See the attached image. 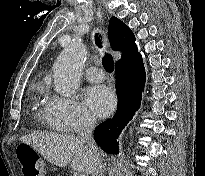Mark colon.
<instances>
[{
	"instance_id": "1",
	"label": "colon",
	"mask_w": 205,
	"mask_h": 176,
	"mask_svg": "<svg viewBox=\"0 0 205 176\" xmlns=\"http://www.w3.org/2000/svg\"><path fill=\"white\" fill-rule=\"evenodd\" d=\"M16 157L24 176H42L44 164L37 152L33 150H17Z\"/></svg>"
}]
</instances>
